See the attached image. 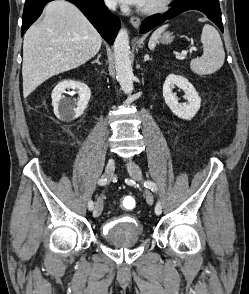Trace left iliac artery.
Wrapping results in <instances>:
<instances>
[{
  "label": "left iliac artery",
  "instance_id": "1",
  "mask_svg": "<svg viewBox=\"0 0 249 294\" xmlns=\"http://www.w3.org/2000/svg\"><path fill=\"white\" fill-rule=\"evenodd\" d=\"M144 186L146 188L151 189L153 192L157 191V187H156L155 183L150 181V180L145 181ZM155 213H156V215H160L162 213V206H161V203L159 201L157 202V204L155 206Z\"/></svg>",
  "mask_w": 249,
  "mask_h": 294
}]
</instances>
